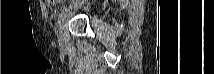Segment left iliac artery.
<instances>
[{"label":"left iliac artery","instance_id":"obj_1","mask_svg":"<svg viewBox=\"0 0 214 74\" xmlns=\"http://www.w3.org/2000/svg\"><path fill=\"white\" fill-rule=\"evenodd\" d=\"M70 8H71V6L64 7V8L61 10L60 14H59V19H61V18L64 16V14H65Z\"/></svg>","mask_w":214,"mask_h":74}]
</instances>
